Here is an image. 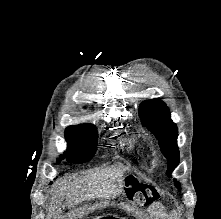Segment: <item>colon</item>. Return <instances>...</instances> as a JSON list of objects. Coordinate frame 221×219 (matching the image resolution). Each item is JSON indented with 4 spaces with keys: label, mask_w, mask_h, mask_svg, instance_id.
Here are the masks:
<instances>
[{
    "label": "colon",
    "mask_w": 221,
    "mask_h": 219,
    "mask_svg": "<svg viewBox=\"0 0 221 219\" xmlns=\"http://www.w3.org/2000/svg\"><path fill=\"white\" fill-rule=\"evenodd\" d=\"M126 186L131 194L136 197L142 204H149L155 199L152 191L146 185L140 184L136 181H128ZM142 195L146 196V198L143 199L141 197Z\"/></svg>",
    "instance_id": "5ec220e1"
}]
</instances>
